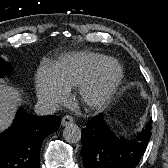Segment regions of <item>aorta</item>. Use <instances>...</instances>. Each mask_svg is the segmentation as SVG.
Returning <instances> with one entry per match:
<instances>
[{
    "mask_svg": "<svg viewBox=\"0 0 168 168\" xmlns=\"http://www.w3.org/2000/svg\"><path fill=\"white\" fill-rule=\"evenodd\" d=\"M63 137L69 143H77L81 140V129L75 125H67L63 130Z\"/></svg>",
    "mask_w": 168,
    "mask_h": 168,
    "instance_id": "1",
    "label": "aorta"
}]
</instances>
